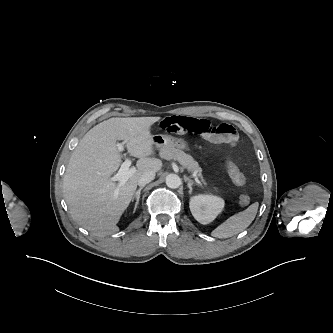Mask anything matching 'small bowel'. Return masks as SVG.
I'll list each match as a JSON object with an SVG mask.
<instances>
[{"label": "small bowel", "instance_id": "small-bowel-1", "mask_svg": "<svg viewBox=\"0 0 333 333\" xmlns=\"http://www.w3.org/2000/svg\"><path fill=\"white\" fill-rule=\"evenodd\" d=\"M158 127L174 135L195 134L215 144L235 145L238 135L227 123L214 124L207 119L173 115L158 122Z\"/></svg>", "mask_w": 333, "mask_h": 333}]
</instances>
